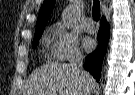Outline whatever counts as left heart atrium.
<instances>
[{
	"label": "left heart atrium",
	"instance_id": "left-heart-atrium-1",
	"mask_svg": "<svg viewBox=\"0 0 135 95\" xmlns=\"http://www.w3.org/2000/svg\"><path fill=\"white\" fill-rule=\"evenodd\" d=\"M83 45L87 51H92L95 47V42L91 38H85Z\"/></svg>",
	"mask_w": 135,
	"mask_h": 95
}]
</instances>
